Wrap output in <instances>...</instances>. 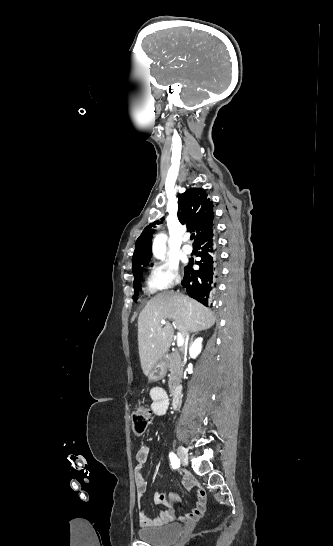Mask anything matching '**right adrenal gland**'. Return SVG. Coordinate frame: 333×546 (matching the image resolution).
Returning a JSON list of instances; mask_svg holds the SVG:
<instances>
[{
	"label": "right adrenal gland",
	"mask_w": 333,
	"mask_h": 546,
	"mask_svg": "<svg viewBox=\"0 0 333 546\" xmlns=\"http://www.w3.org/2000/svg\"><path fill=\"white\" fill-rule=\"evenodd\" d=\"M197 334H198V332L191 336V342L193 341L194 336L197 335Z\"/></svg>",
	"instance_id": "2a0ac1e0"
}]
</instances>
